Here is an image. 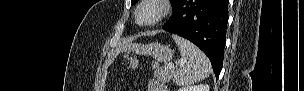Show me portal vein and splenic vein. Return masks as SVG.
I'll return each mask as SVG.
<instances>
[{"label":"portal vein and splenic vein","mask_w":304,"mask_h":91,"mask_svg":"<svg viewBox=\"0 0 304 91\" xmlns=\"http://www.w3.org/2000/svg\"><path fill=\"white\" fill-rule=\"evenodd\" d=\"M170 69L174 68V65L173 64H168L167 65Z\"/></svg>","instance_id":"18ae733b"}]
</instances>
